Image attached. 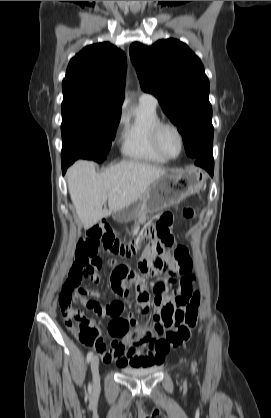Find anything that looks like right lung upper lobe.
Segmentation results:
<instances>
[{
    "label": "right lung upper lobe",
    "instance_id": "obj_1",
    "mask_svg": "<svg viewBox=\"0 0 271 418\" xmlns=\"http://www.w3.org/2000/svg\"><path fill=\"white\" fill-rule=\"evenodd\" d=\"M126 55L109 42L85 47L70 60L62 82L63 102L120 108Z\"/></svg>",
    "mask_w": 271,
    "mask_h": 418
}]
</instances>
